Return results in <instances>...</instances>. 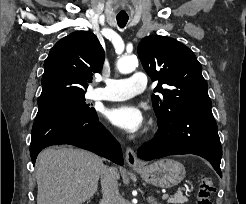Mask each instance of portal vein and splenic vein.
I'll return each mask as SVG.
<instances>
[{
  "label": "portal vein and splenic vein",
  "mask_w": 246,
  "mask_h": 204,
  "mask_svg": "<svg viewBox=\"0 0 246 204\" xmlns=\"http://www.w3.org/2000/svg\"><path fill=\"white\" fill-rule=\"evenodd\" d=\"M177 195H182V192H178ZM162 198L163 199H168V195H163Z\"/></svg>",
  "instance_id": "obj_1"
}]
</instances>
